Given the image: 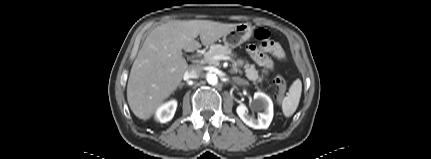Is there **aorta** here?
Wrapping results in <instances>:
<instances>
[{
  "label": "aorta",
  "instance_id": "aorta-1",
  "mask_svg": "<svg viewBox=\"0 0 431 159\" xmlns=\"http://www.w3.org/2000/svg\"><path fill=\"white\" fill-rule=\"evenodd\" d=\"M205 78L210 85H216L218 83L217 76L215 74H212L211 72H208L205 75Z\"/></svg>",
  "mask_w": 431,
  "mask_h": 159
}]
</instances>
